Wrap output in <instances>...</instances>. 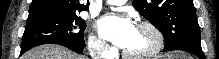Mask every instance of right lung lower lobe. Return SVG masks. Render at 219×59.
<instances>
[{"instance_id": "right-lung-lower-lobe-1", "label": "right lung lower lobe", "mask_w": 219, "mask_h": 59, "mask_svg": "<svg viewBox=\"0 0 219 59\" xmlns=\"http://www.w3.org/2000/svg\"><path fill=\"white\" fill-rule=\"evenodd\" d=\"M63 46L77 52V53H82L83 52V48L84 47H81V46H76V45H71V44H64ZM23 52L20 53V55H22Z\"/></svg>"}]
</instances>
